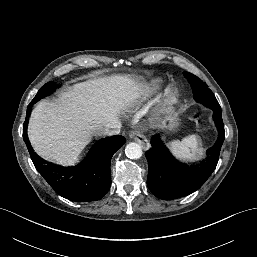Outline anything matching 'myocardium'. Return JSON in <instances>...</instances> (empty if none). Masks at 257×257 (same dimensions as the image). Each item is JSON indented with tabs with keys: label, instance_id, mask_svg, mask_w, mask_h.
I'll use <instances>...</instances> for the list:
<instances>
[{
	"label": "myocardium",
	"instance_id": "myocardium-1",
	"mask_svg": "<svg viewBox=\"0 0 257 257\" xmlns=\"http://www.w3.org/2000/svg\"><path fill=\"white\" fill-rule=\"evenodd\" d=\"M177 100H178V92L175 90L169 91L167 94V102L169 104H174L177 102Z\"/></svg>",
	"mask_w": 257,
	"mask_h": 257
}]
</instances>
